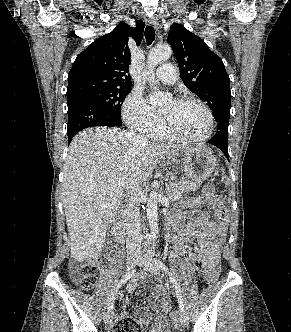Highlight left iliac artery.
<instances>
[{"label":"left iliac artery","mask_w":291,"mask_h":332,"mask_svg":"<svg viewBox=\"0 0 291 332\" xmlns=\"http://www.w3.org/2000/svg\"><path fill=\"white\" fill-rule=\"evenodd\" d=\"M155 262L162 271H164L165 273H167L170 276V279L174 283V286H175V291H176V295L178 298L179 307L182 311H184L183 297H182L181 287H180L179 283L177 282L176 278L173 276L171 271L168 269V267L162 261L155 260Z\"/></svg>","instance_id":"1"}]
</instances>
